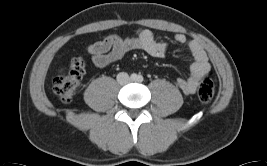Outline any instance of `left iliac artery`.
I'll return each instance as SVG.
<instances>
[{
	"mask_svg": "<svg viewBox=\"0 0 267 166\" xmlns=\"http://www.w3.org/2000/svg\"><path fill=\"white\" fill-rule=\"evenodd\" d=\"M137 81H138V82H142V81H143V76L139 75V76L137 77Z\"/></svg>",
	"mask_w": 267,
	"mask_h": 166,
	"instance_id": "left-iliac-artery-1",
	"label": "left iliac artery"
}]
</instances>
